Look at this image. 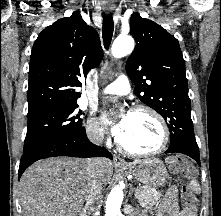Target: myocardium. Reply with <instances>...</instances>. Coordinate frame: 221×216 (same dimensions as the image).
<instances>
[{
	"label": "myocardium",
	"instance_id": "1",
	"mask_svg": "<svg viewBox=\"0 0 221 216\" xmlns=\"http://www.w3.org/2000/svg\"><path fill=\"white\" fill-rule=\"evenodd\" d=\"M138 112L147 113L151 115L158 122L161 128V132H162L161 142L156 148L150 151H136V150L130 149L126 147L119 139L117 140V146L119 150H121L123 153L133 156V157H149V156L159 154L166 148V146L169 143V139H170L169 127L164 117L156 109H154L151 106L137 105L131 109V113H138Z\"/></svg>",
	"mask_w": 221,
	"mask_h": 216
}]
</instances>
